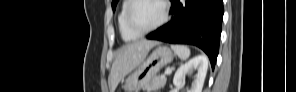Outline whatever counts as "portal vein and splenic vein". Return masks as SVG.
Masks as SVG:
<instances>
[{
    "label": "portal vein and splenic vein",
    "instance_id": "18ae733b",
    "mask_svg": "<svg viewBox=\"0 0 296 92\" xmlns=\"http://www.w3.org/2000/svg\"><path fill=\"white\" fill-rule=\"evenodd\" d=\"M171 73V71L169 70V71H166L164 74H162V78H164L167 74H170Z\"/></svg>",
    "mask_w": 296,
    "mask_h": 92
}]
</instances>
